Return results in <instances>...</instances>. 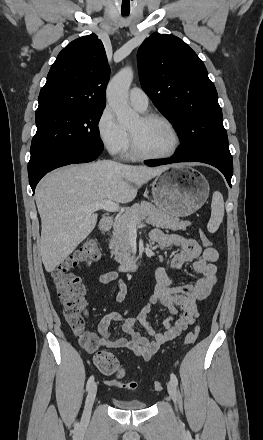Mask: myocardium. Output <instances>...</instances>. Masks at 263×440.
Returning <instances> with one entry per match:
<instances>
[{
	"mask_svg": "<svg viewBox=\"0 0 263 440\" xmlns=\"http://www.w3.org/2000/svg\"><path fill=\"white\" fill-rule=\"evenodd\" d=\"M140 118L144 122L159 121V122L164 123L169 128V130L171 131V133L173 135L174 144H173V147L171 148V150L166 153L150 154V153L143 151L139 147L135 137L129 131L130 147H131L132 155L139 158V159H145V160H161V159H167V158L173 157L180 149L181 143H182L181 135H180L178 129L176 128V126L173 124V122L170 119H168L167 117H165L164 115L156 114V113L143 114Z\"/></svg>",
	"mask_w": 263,
	"mask_h": 440,
	"instance_id": "1",
	"label": "myocardium"
}]
</instances>
